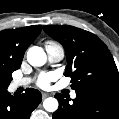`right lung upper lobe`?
<instances>
[{"label":"right lung upper lobe","mask_w":119,"mask_h":119,"mask_svg":"<svg viewBox=\"0 0 119 119\" xmlns=\"http://www.w3.org/2000/svg\"><path fill=\"white\" fill-rule=\"evenodd\" d=\"M41 25L0 31V73L20 68L28 46L41 32Z\"/></svg>","instance_id":"obj_1"}]
</instances>
